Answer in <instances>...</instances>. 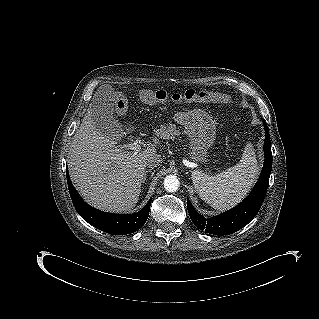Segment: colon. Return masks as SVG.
<instances>
[{"label":"colon","instance_id":"colon-1","mask_svg":"<svg viewBox=\"0 0 319 319\" xmlns=\"http://www.w3.org/2000/svg\"><path fill=\"white\" fill-rule=\"evenodd\" d=\"M139 97L142 101L148 104L164 103L171 101L173 103L180 102H217L221 101L220 94L207 90L188 89L181 93L168 95L164 90L143 88L139 91ZM128 100L125 95L118 94L116 98V109L119 113H124L127 109Z\"/></svg>","mask_w":319,"mask_h":319}]
</instances>
